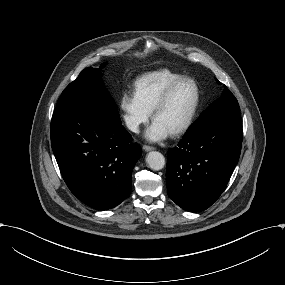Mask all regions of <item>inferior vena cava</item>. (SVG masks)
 Segmentation results:
<instances>
[{
	"instance_id": "1",
	"label": "inferior vena cava",
	"mask_w": 285,
	"mask_h": 285,
	"mask_svg": "<svg viewBox=\"0 0 285 285\" xmlns=\"http://www.w3.org/2000/svg\"><path fill=\"white\" fill-rule=\"evenodd\" d=\"M124 118L126 125L130 130L136 132L139 129V123L134 117L126 115Z\"/></svg>"
}]
</instances>
